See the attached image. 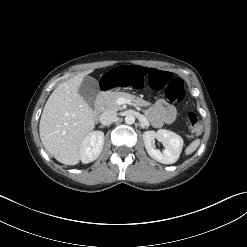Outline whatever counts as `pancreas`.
Returning <instances> with one entry per match:
<instances>
[{"instance_id":"obj_1","label":"pancreas","mask_w":247,"mask_h":247,"mask_svg":"<svg viewBox=\"0 0 247 247\" xmlns=\"http://www.w3.org/2000/svg\"><path fill=\"white\" fill-rule=\"evenodd\" d=\"M123 97L131 102L135 103L136 105L143 106L146 104V101L143 99L136 97L134 95H131L129 93L125 92H108V93H103L100 97L101 104L106 108V109H112V110H122V106L117 103V99Z\"/></svg>"}]
</instances>
